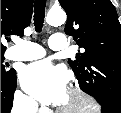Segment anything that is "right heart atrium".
Returning a JSON list of instances; mask_svg holds the SVG:
<instances>
[{"label":"right heart atrium","instance_id":"1","mask_svg":"<svg viewBox=\"0 0 121 113\" xmlns=\"http://www.w3.org/2000/svg\"><path fill=\"white\" fill-rule=\"evenodd\" d=\"M16 103L18 105V109L34 110L36 108L35 102L22 93H18Z\"/></svg>","mask_w":121,"mask_h":113}]
</instances>
